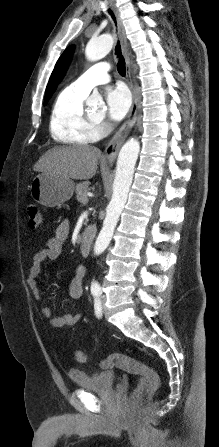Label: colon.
I'll list each match as a JSON object with an SVG mask.
<instances>
[{
    "label": "colon",
    "mask_w": 219,
    "mask_h": 447,
    "mask_svg": "<svg viewBox=\"0 0 219 447\" xmlns=\"http://www.w3.org/2000/svg\"><path fill=\"white\" fill-rule=\"evenodd\" d=\"M42 223V214L40 208L36 204L28 206V225L32 229L38 228ZM74 358L79 363L87 362V355L80 350L74 352ZM101 366L105 369L118 367L128 370L140 376L139 384L131 395L132 403H140L149 398L159 387L160 380L158 375L145 365L137 362L129 356L114 353L108 355L101 361Z\"/></svg>",
    "instance_id": "colon-1"
}]
</instances>
